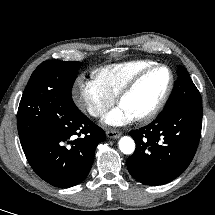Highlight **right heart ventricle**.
Segmentation results:
<instances>
[{"label":"right heart ventricle","instance_id":"e07e8e85","mask_svg":"<svg viewBox=\"0 0 215 215\" xmlns=\"http://www.w3.org/2000/svg\"><path fill=\"white\" fill-rule=\"evenodd\" d=\"M151 60H132L106 65L92 72L93 80L106 92L117 96L122 87L138 72L154 64Z\"/></svg>","mask_w":215,"mask_h":215}]
</instances>
